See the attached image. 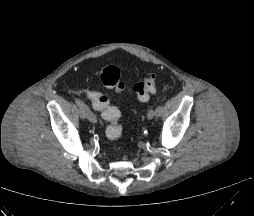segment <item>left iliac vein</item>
Listing matches in <instances>:
<instances>
[{"label": "left iliac vein", "mask_w": 254, "mask_h": 216, "mask_svg": "<svg viewBox=\"0 0 254 216\" xmlns=\"http://www.w3.org/2000/svg\"><path fill=\"white\" fill-rule=\"evenodd\" d=\"M154 116H155V110L150 109V110L148 111V113H147V118H148L149 120H151V119H153Z\"/></svg>", "instance_id": "1"}]
</instances>
